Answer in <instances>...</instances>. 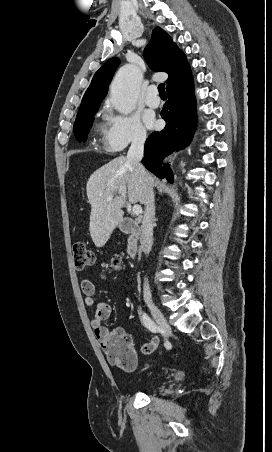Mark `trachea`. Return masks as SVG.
Returning a JSON list of instances; mask_svg holds the SVG:
<instances>
[{
  "mask_svg": "<svg viewBox=\"0 0 272 452\" xmlns=\"http://www.w3.org/2000/svg\"><path fill=\"white\" fill-rule=\"evenodd\" d=\"M158 91H159V95L160 96H166L165 84L164 83L159 84Z\"/></svg>",
  "mask_w": 272,
  "mask_h": 452,
  "instance_id": "3493384b",
  "label": "trachea"
}]
</instances>
